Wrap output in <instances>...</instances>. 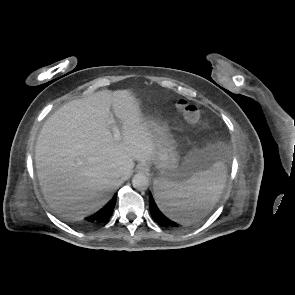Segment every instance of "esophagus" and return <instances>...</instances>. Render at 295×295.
Instances as JSON below:
<instances>
[{
    "label": "esophagus",
    "mask_w": 295,
    "mask_h": 295,
    "mask_svg": "<svg viewBox=\"0 0 295 295\" xmlns=\"http://www.w3.org/2000/svg\"><path fill=\"white\" fill-rule=\"evenodd\" d=\"M137 170H138L139 172L146 173V172H148L149 167H148L146 164H144V163H140V164L137 166Z\"/></svg>",
    "instance_id": "34e87169"
}]
</instances>
